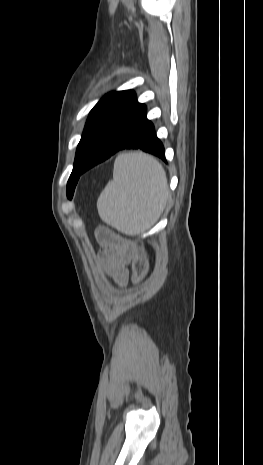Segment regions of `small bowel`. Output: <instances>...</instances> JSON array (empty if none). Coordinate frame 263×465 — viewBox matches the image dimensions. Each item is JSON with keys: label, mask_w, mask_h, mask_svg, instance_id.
Here are the masks:
<instances>
[{"label": "small bowel", "mask_w": 263, "mask_h": 465, "mask_svg": "<svg viewBox=\"0 0 263 465\" xmlns=\"http://www.w3.org/2000/svg\"><path fill=\"white\" fill-rule=\"evenodd\" d=\"M98 237L110 259L112 276L118 284H124L128 277L126 264L129 260L130 252L123 249L112 234L107 231L99 232Z\"/></svg>", "instance_id": "c3829d8e"}]
</instances>
